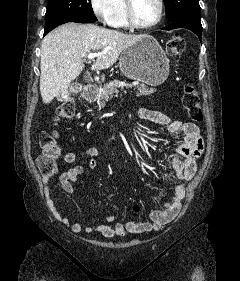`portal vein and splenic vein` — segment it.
<instances>
[{
  "label": "portal vein and splenic vein",
  "instance_id": "portal-vein-and-splenic-vein-1",
  "mask_svg": "<svg viewBox=\"0 0 240 281\" xmlns=\"http://www.w3.org/2000/svg\"><path fill=\"white\" fill-rule=\"evenodd\" d=\"M103 53H89L86 58L89 60V61H92L94 60L96 57L102 55Z\"/></svg>",
  "mask_w": 240,
  "mask_h": 281
}]
</instances>
